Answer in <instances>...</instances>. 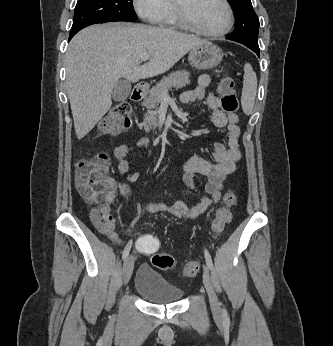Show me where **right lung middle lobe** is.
I'll list each match as a JSON object with an SVG mask.
<instances>
[{
	"instance_id": "right-lung-middle-lobe-1",
	"label": "right lung middle lobe",
	"mask_w": 333,
	"mask_h": 346,
	"mask_svg": "<svg viewBox=\"0 0 333 346\" xmlns=\"http://www.w3.org/2000/svg\"><path fill=\"white\" fill-rule=\"evenodd\" d=\"M133 0H79L70 34L96 23L136 21Z\"/></svg>"
}]
</instances>
